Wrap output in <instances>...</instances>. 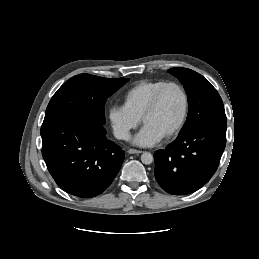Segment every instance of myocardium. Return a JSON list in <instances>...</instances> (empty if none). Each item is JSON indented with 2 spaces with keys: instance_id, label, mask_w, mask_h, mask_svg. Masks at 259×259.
<instances>
[{
  "instance_id": "myocardium-1",
  "label": "myocardium",
  "mask_w": 259,
  "mask_h": 259,
  "mask_svg": "<svg viewBox=\"0 0 259 259\" xmlns=\"http://www.w3.org/2000/svg\"><path fill=\"white\" fill-rule=\"evenodd\" d=\"M170 87H176L181 92L184 100V106H183V112L179 122L169 133H167L165 136L162 137L163 140H169L175 137L176 135H178L180 131L183 129L187 121V117L189 113V95L186 89L178 82L169 81L165 83L156 91L149 106L147 107V109L145 110V112L141 117V121L145 125V121L147 120V118L151 116L158 109L164 92Z\"/></svg>"
}]
</instances>
